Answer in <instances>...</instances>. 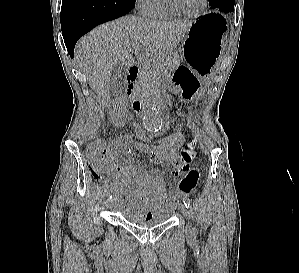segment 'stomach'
<instances>
[{"mask_svg": "<svg viewBox=\"0 0 299 273\" xmlns=\"http://www.w3.org/2000/svg\"><path fill=\"white\" fill-rule=\"evenodd\" d=\"M227 21L219 13H209L194 21L184 37L185 64L174 67L170 76L171 91L184 96V101H195L204 86V77L219 74V56L223 53Z\"/></svg>", "mask_w": 299, "mask_h": 273, "instance_id": "0dacf381", "label": "stomach"}]
</instances>
